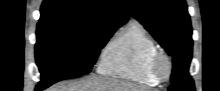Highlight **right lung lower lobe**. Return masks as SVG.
Instances as JSON below:
<instances>
[{"mask_svg":"<svg viewBox=\"0 0 220 91\" xmlns=\"http://www.w3.org/2000/svg\"><path fill=\"white\" fill-rule=\"evenodd\" d=\"M46 87L45 86H37L36 87V91H40V90H43L45 89Z\"/></svg>","mask_w":220,"mask_h":91,"instance_id":"obj_1","label":"right lung lower lobe"}]
</instances>
